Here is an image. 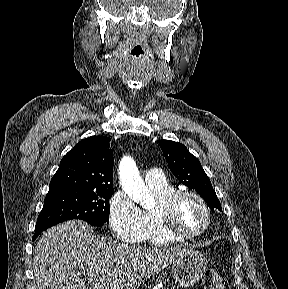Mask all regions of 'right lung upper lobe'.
<instances>
[{
  "label": "right lung upper lobe",
  "instance_id": "cb5924a9",
  "mask_svg": "<svg viewBox=\"0 0 288 289\" xmlns=\"http://www.w3.org/2000/svg\"><path fill=\"white\" fill-rule=\"evenodd\" d=\"M110 138L92 136L80 141L61 160L50 181L58 189L102 190L113 188V151Z\"/></svg>",
  "mask_w": 288,
  "mask_h": 289
}]
</instances>
